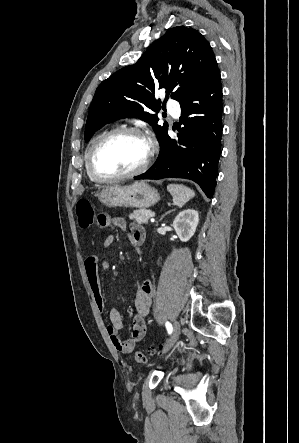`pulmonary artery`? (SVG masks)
I'll return each mask as SVG.
<instances>
[{
  "label": "pulmonary artery",
  "mask_w": 299,
  "mask_h": 443,
  "mask_svg": "<svg viewBox=\"0 0 299 443\" xmlns=\"http://www.w3.org/2000/svg\"><path fill=\"white\" fill-rule=\"evenodd\" d=\"M167 109L172 117L178 118L180 116V106L176 100H169L167 103Z\"/></svg>",
  "instance_id": "1"
}]
</instances>
